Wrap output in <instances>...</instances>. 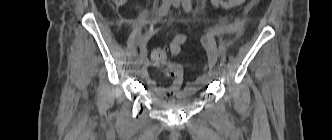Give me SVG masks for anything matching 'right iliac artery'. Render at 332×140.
I'll return each instance as SVG.
<instances>
[{
  "label": "right iliac artery",
  "instance_id": "obj_1",
  "mask_svg": "<svg viewBox=\"0 0 332 140\" xmlns=\"http://www.w3.org/2000/svg\"><path fill=\"white\" fill-rule=\"evenodd\" d=\"M169 9H170V1L163 3L158 9V12L156 14V19H160L164 15H166L167 12L169 11ZM139 57H142V58L145 57V51L143 48H141V50H140Z\"/></svg>",
  "mask_w": 332,
  "mask_h": 140
}]
</instances>
